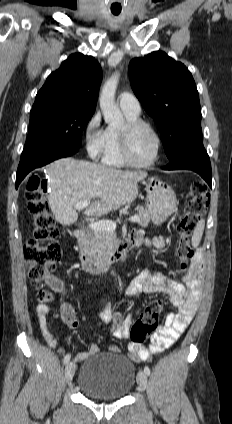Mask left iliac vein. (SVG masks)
<instances>
[{
  "mask_svg": "<svg viewBox=\"0 0 232 424\" xmlns=\"http://www.w3.org/2000/svg\"><path fill=\"white\" fill-rule=\"evenodd\" d=\"M137 383L142 390L147 387V374L143 371H139L137 374Z\"/></svg>",
  "mask_w": 232,
  "mask_h": 424,
  "instance_id": "obj_1",
  "label": "left iliac vein"
}]
</instances>
